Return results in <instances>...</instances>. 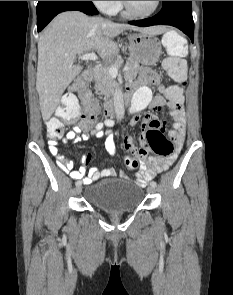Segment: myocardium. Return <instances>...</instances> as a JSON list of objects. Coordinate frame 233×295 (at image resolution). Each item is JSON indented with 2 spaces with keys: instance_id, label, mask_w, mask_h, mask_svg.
Instances as JSON below:
<instances>
[{
  "instance_id": "myocardium-1",
  "label": "myocardium",
  "mask_w": 233,
  "mask_h": 295,
  "mask_svg": "<svg viewBox=\"0 0 233 295\" xmlns=\"http://www.w3.org/2000/svg\"><path fill=\"white\" fill-rule=\"evenodd\" d=\"M121 3H122V6H123L125 12H126L129 16H132V17H135V18H148V17L152 16L153 14H155V13L157 12V10H158L159 7H160V3H161V1H156V2H155V6H154V8H153L150 12L145 13V14H140V13L135 12V11L132 9V7H131L129 1H121Z\"/></svg>"
}]
</instances>
